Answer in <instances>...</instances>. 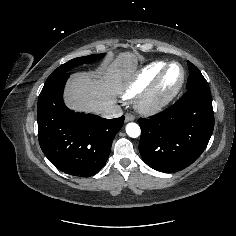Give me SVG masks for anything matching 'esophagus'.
I'll return each mask as SVG.
<instances>
[{"label": "esophagus", "mask_w": 236, "mask_h": 236, "mask_svg": "<svg viewBox=\"0 0 236 236\" xmlns=\"http://www.w3.org/2000/svg\"><path fill=\"white\" fill-rule=\"evenodd\" d=\"M135 120V116L133 114L127 113L125 115V122H130V121H134Z\"/></svg>", "instance_id": "obj_1"}]
</instances>
